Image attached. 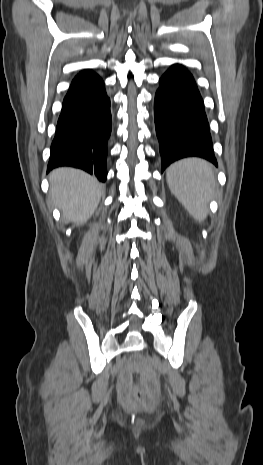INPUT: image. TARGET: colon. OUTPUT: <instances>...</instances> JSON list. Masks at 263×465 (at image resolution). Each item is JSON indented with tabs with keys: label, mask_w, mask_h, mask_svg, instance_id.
<instances>
[{
	"label": "colon",
	"mask_w": 263,
	"mask_h": 465,
	"mask_svg": "<svg viewBox=\"0 0 263 465\" xmlns=\"http://www.w3.org/2000/svg\"><path fill=\"white\" fill-rule=\"evenodd\" d=\"M156 392L157 384L152 380H146L138 388L136 396L145 409L152 410L155 405Z\"/></svg>",
	"instance_id": "5ec220e1"
}]
</instances>
